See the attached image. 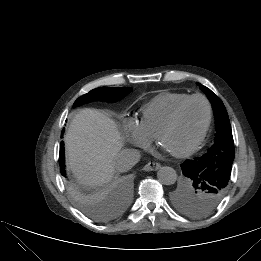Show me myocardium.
<instances>
[{
	"instance_id": "obj_1",
	"label": "myocardium",
	"mask_w": 261,
	"mask_h": 261,
	"mask_svg": "<svg viewBox=\"0 0 261 261\" xmlns=\"http://www.w3.org/2000/svg\"><path fill=\"white\" fill-rule=\"evenodd\" d=\"M202 100L205 104H206V108H207V118H206V122L205 125L201 131V133L199 134V136L196 138V140L190 144L188 147L179 150V151H175L172 152V154L176 157H187L189 155H191L192 153H194L199 146L202 144V142L204 141L210 125H211V121H212V106L210 101L208 100L207 97H205L202 94H194V95H190L189 97H187L185 100H183L182 102H180L176 108L173 110V112L171 113V115L169 116V118L167 119V121L164 123V125L161 127V129L159 130L157 136H156V140L158 143H161L162 137L164 136V134L166 132H168L176 123L182 109L186 106V104H188L190 101L192 100Z\"/></svg>"
}]
</instances>
